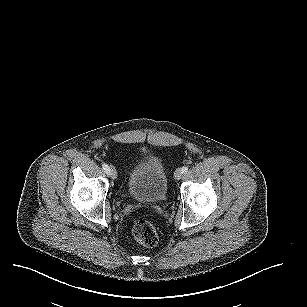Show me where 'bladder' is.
<instances>
[{"label": "bladder", "instance_id": "1", "mask_svg": "<svg viewBox=\"0 0 307 307\" xmlns=\"http://www.w3.org/2000/svg\"><path fill=\"white\" fill-rule=\"evenodd\" d=\"M128 192L139 201L161 203L166 196V169L163 163L144 161L132 166L128 174Z\"/></svg>", "mask_w": 307, "mask_h": 307}]
</instances>
